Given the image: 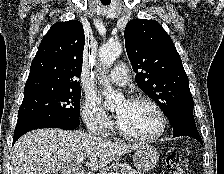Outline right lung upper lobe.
I'll return each mask as SVG.
<instances>
[{"label": "right lung upper lobe", "mask_w": 224, "mask_h": 174, "mask_svg": "<svg viewBox=\"0 0 224 174\" xmlns=\"http://www.w3.org/2000/svg\"><path fill=\"white\" fill-rule=\"evenodd\" d=\"M85 35L77 20L55 23L32 61L24 94L49 89H79Z\"/></svg>", "instance_id": "obj_1"}]
</instances>
